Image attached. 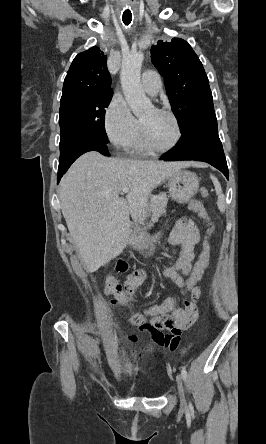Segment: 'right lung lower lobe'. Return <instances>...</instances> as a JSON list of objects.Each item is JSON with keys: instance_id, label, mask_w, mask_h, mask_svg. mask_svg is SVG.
<instances>
[{"instance_id": "right-lung-lower-lobe-1", "label": "right lung lower lobe", "mask_w": 266, "mask_h": 444, "mask_svg": "<svg viewBox=\"0 0 266 444\" xmlns=\"http://www.w3.org/2000/svg\"><path fill=\"white\" fill-rule=\"evenodd\" d=\"M89 151H97L105 156H110L107 149V142L99 138H88L81 141L76 146H74L70 151H68L65 155L60 156L59 168L57 174V183H59L63 174L66 173V171L72 165V163L79 156Z\"/></svg>"}]
</instances>
